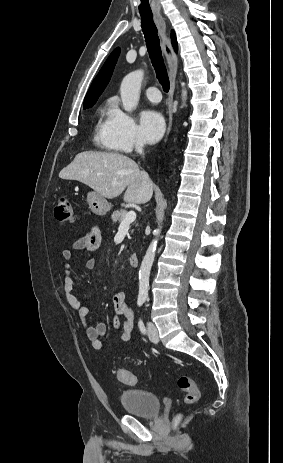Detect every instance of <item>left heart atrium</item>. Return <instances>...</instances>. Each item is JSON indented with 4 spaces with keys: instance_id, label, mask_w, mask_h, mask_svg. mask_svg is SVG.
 Listing matches in <instances>:
<instances>
[{
    "instance_id": "1",
    "label": "left heart atrium",
    "mask_w": 283,
    "mask_h": 463,
    "mask_svg": "<svg viewBox=\"0 0 283 463\" xmlns=\"http://www.w3.org/2000/svg\"><path fill=\"white\" fill-rule=\"evenodd\" d=\"M139 131L148 143L157 142L165 131V122L160 113L154 110L144 111L140 118Z\"/></svg>"
}]
</instances>
